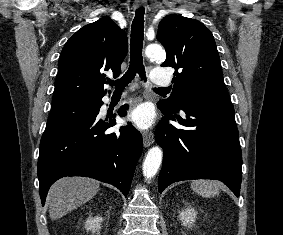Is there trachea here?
<instances>
[{
    "mask_svg": "<svg viewBox=\"0 0 283 235\" xmlns=\"http://www.w3.org/2000/svg\"><path fill=\"white\" fill-rule=\"evenodd\" d=\"M144 13L143 7L135 11V17L131 27L130 39V65L127 72L116 81H109L110 85L116 87V90H123L139 74L142 80L146 79L145 68L142 58V47L144 37ZM167 88H155V91H164Z\"/></svg>",
    "mask_w": 283,
    "mask_h": 235,
    "instance_id": "trachea-1",
    "label": "trachea"
}]
</instances>
